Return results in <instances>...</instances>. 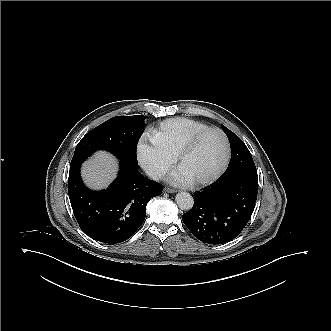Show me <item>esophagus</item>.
<instances>
[{
  "instance_id": "obj_1",
  "label": "esophagus",
  "mask_w": 331,
  "mask_h": 331,
  "mask_svg": "<svg viewBox=\"0 0 331 331\" xmlns=\"http://www.w3.org/2000/svg\"><path fill=\"white\" fill-rule=\"evenodd\" d=\"M165 193H175L177 190L170 188V187H165L163 190Z\"/></svg>"
}]
</instances>
